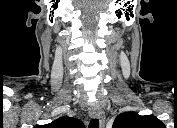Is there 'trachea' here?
<instances>
[{
  "instance_id": "1",
  "label": "trachea",
  "mask_w": 177,
  "mask_h": 128,
  "mask_svg": "<svg viewBox=\"0 0 177 128\" xmlns=\"http://www.w3.org/2000/svg\"><path fill=\"white\" fill-rule=\"evenodd\" d=\"M88 128H99V120L98 119H92L89 123Z\"/></svg>"
}]
</instances>
